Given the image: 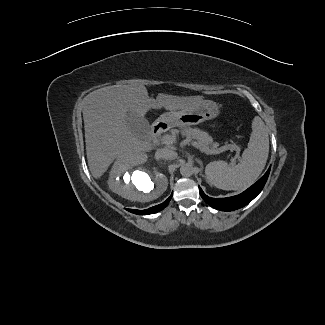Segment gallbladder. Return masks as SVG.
I'll return each instance as SVG.
<instances>
[{
    "mask_svg": "<svg viewBox=\"0 0 325 325\" xmlns=\"http://www.w3.org/2000/svg\"><path fill=\"white\" fill-rule=\"evenodd\" d=\"M126 123L132 133L141 140H148L150 137V124L144 117L128 112L126 114Z\"/></svg>",
    "mask_w": 325,
    "mask_h": 325,
    "instance_id": "obj_1",
    "label": "gallbladder"
}]
</instances>
